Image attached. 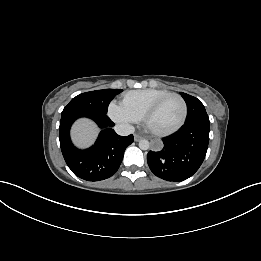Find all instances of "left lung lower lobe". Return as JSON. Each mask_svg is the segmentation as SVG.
<instances>
[{
	"label": "left lung lower lobe",
	"instance_id": "0a47b994",
	"mask_svg": "<svg viewBox=\"0 0 261 261\" xmlns=\"http://www.w3.org/2000/svg\"><path fill=\"white\" fill-rule=\"evenodd\" d=\"M209 127V118H199L185 122L175 134L162 139L161 148L147 154L153 174L173 182L191 177L205 158Z\"/></svg>",
	"mask_w": 261,
	"mask_h": 261
}]
</instances>
